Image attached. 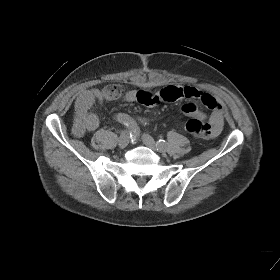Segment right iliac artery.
Instances as JSON below:
<instances>
[{
  "label": "right iliac artery",
  "mask_w": 280,
  "mask_h": 280,
  "mask_svg": "<svg viewBox=\"0 0 280 280\" xmlns=\"http://www.w3.org/2000/svg\"><path fill=\"white\" fill-rule=\"evenodd\" d=\"M116 119L128 128V134L130 135L131 141L136 142L140 135V129L137 123L128 115L121 113L116 116Z\"/></svg>",
  "instance_id": "obj_1"
}]
</instances>
